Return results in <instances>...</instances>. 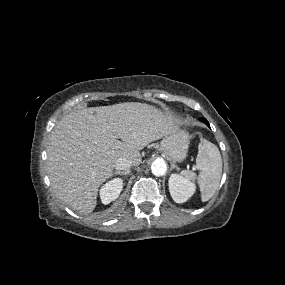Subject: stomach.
<instances>
[{
  "mask_svg": "<svg viewBox=\"0 0 285 285\" xmlns=\"http://www.w3.org/2000/svg\"><path fill=\"white\" fill-rule=\"evenodd\" d=\"M189 144V134L185 130L178 129L162 139L159 151L169 156L173 161L180 162L186 158Z\"/></svg>",
  "mask_w": 285,
  "mask_h": 285,
  "instance_id": "stomach-1",
  "label": "stomach"
}]
</instances>
